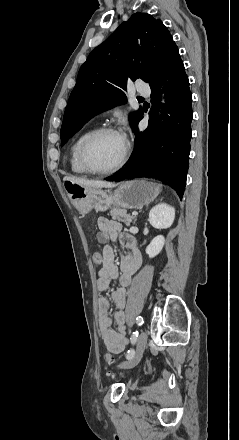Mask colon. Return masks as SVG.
I'll use <instances>...</instances> for the list:
<instances>
[{
    "label": "colon",
    "instance_id": "1",
    "mask_svg": "<svg viewBox=\"0 0 239 440\" xmlns=\"http://www.w3.org/2000/svg\"><path fill=\"white\" fill-rule=\"evenodd\" d=\"M93 262L96 266H99L102 264V255H101L100 251H98V250L94 251ZM104 361L106 362V364L110 365L113 363L114 358L110 353H106L104 356Z\"/></svg>",
    "mask_w": 239,
    "mask_h": 440
}]
</instances>
